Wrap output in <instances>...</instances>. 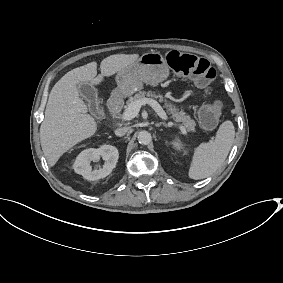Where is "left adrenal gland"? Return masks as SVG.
<instances>
[{
  "mask_svg": "<svg viewBox=\"0 0 283 283\" xmlns=\"http://www.w3.org/2000/svg\"><path fill=\"white\" fill-rule=\"evenodd\" d=\"M161 125L168 127V124H166L165 122H160L155 124L156 127H160Z\"/></svg>",
  "mask_w": 283,
  "mask_h": 283,
  "instance_id": "left-adrenal-gland-1",
  "label": "left adrenal gland"
}]
</instances>
